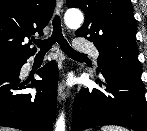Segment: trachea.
Segmentation results:
<instances>
[{
	"mask_svg": "<svg viewBox=\"0 0 147 131\" xmlns=\"http://www.w3.org/2000/svg\"><path fill=\"white\" fill-rule=\"evenodd\" d=\"M58 43L63 52L72 58L85 57V54L75 51L67 42L62 34L61 20L58 15L53 19V32L50 37L44 40H34V43L40 49L39 54H45L52 48V45Z\"/></svg>",
	"mask_w": 147,
	"mask_h": 131,
	"instance_id": "obj_1",
	"label": "trachea"
}]
</instances>
